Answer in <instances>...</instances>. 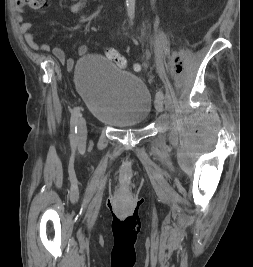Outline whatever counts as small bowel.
I'll return each instance as SVG.
<instances>
[{
  "label": "small bowel",
  "instance_id": "small-bowel-1",
  "mask_svg": "<svg viewBox=\"0 0 253 267\" xmlns=\"http://www.w3.org/2000/svg\"><path fill=\"white\" fill-rule=\"evenodd\" d=\"M87 0H73V2L69 5V10L76 14L81 12L86 6ZM32 24L30 22H22L20 25V31L24 34V38L26 43L33 50L48 52L52 51L53 55L62 63L66 62L64 51L59 47L51 48L47 43L38 44L35 40L33 33L31 32ZM88 52L87 45H80L78 47L79 55H85Z\"/></svg>",
  "mask_w": 253,
  "mask_h": 267
}]
</instances>
